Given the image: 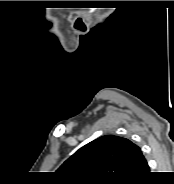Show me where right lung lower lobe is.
Listing matches in <instances>:
<instances>
[{"label": "right lung lower lobe", "mask_w": 174, "mask_h": 184, "mask_svg": "<svg viewBox=\"0 0 174 184\" xmlns=\"http://www.w3.org/2000/svg\"><path fill=\"white\" fill-rule=\"evenodd\" d=\"M149 175V166L146 167L144 171H142L138 176L130 179L129 181H125L121 184H142L144 183V179Z\"/></svg>", "instance_id": "1"}]
</instances>
